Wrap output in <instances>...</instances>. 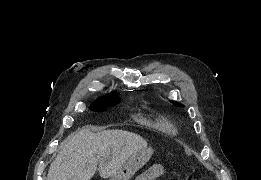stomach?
<instances>
[{"instance_id":"stomach-1","label":"stomach","mask_w":261,"mask_h":180,"mask_svg":"<svg viewBox=\"0 0 261 180\" xmlns=\"http://www.w3.org/2000/svg\"><path fill=\"white\" fill-rule=\"evenodd\" d=\"M153 150L144 148L135 152L108 180H129L151 158Z\"/></svg>"}]
</instances>
